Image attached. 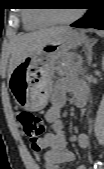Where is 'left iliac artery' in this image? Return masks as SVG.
Wrapping results in <instances>:
<instances>
[{"label":"left iliac artery","mask_w":104,"mask_h":169,"mask_svg":"<svg viewBox=\"0 0 104 169\" xmlns=\"http://www.w3.org/2000/svg\"><path fill=\"white\" fill-rule=\"evenodd\" d=\"M94 169H102V162L97 160L94 164Z\"/></svg>","instance_id":"1"}]
</instances>
